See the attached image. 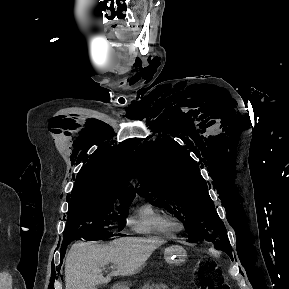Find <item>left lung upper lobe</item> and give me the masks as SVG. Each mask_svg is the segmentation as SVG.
<instances>
[{"label": "left lung upper lobe", "mask_w": 289, "mask_h": 289, "mask_svg": "<svg viewBox=\"0 0 289 289\" xmlns=\"http://www.w3.org/2000/svg\"><path fill=\"white\" fill-rule=\"evenodd\" d=\"M140 148L137 171L142 176L137 192L152 205L164 207L185 219L189 241L212 242L233 260L226 228L215 210L199 167L187 150L170 138H158Z\"/></svg>", "instance_id": "obj_1"}]
</instances>
